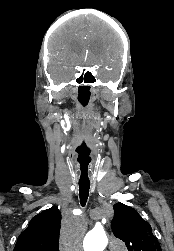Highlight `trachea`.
I'll return each instance as SVG.
<instances>
[{"label": "trachea", "instance_id": "obj_1", "mask_svg": "<svg viewBox=\"0 0 174 251\" xmlns=\"http://www.w3.org/2000/svg\"><path fill=\"white\" fill-rule=\"evenodd\" d=\"M90 183L79 182V196L80 203L82 206H85L88 196H89Z\"/></svg>", "mask_w": 174, "mask_h": 251}]
</instances>
